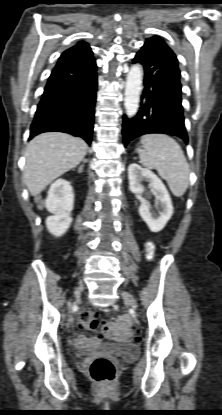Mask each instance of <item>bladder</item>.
I'll use <instances>...</instances> for the list:
<instances>
[{
  "label": "bladder",
  "instance_id": "1",
  "mask_svg": "<svg viewBox=\"0 0 222 415\" xmlns=\"http://www.w3.org/2000/svg\"><path fill=\"white\" fill-rule=\"evenodd\" d=\"M98 352H102L113 358L132 359L137 357L139 349L131 342L101 344L92 347H75L73 349V356L75 358H81Z\"/></svg>",
  "mask_w": 222,
  "mask_h": 415
}]
</instances>
